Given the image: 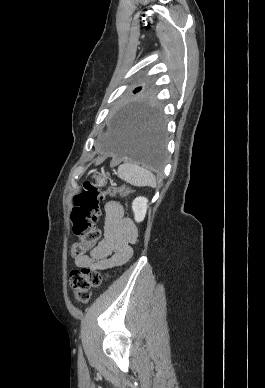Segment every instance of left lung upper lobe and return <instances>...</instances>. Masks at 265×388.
<instances>
[{"label":"left lung upper lobe","mask_w":265,"mask_h":388,"mask_svg":"<svg viewBox=\"0 0 265 388\" xmlns=\"http://www.w3.org/2000/svg\"><path fill=\"white\" fill-rule=\"evenodd\" d=\"M141 87H138L134 90L135 96L132 100L124 104L123 108H136V109H148L155 108L156 103L154 101V96L149 90L142 91Z\"/></svg>","instance_id":"1"}]
</instances>
